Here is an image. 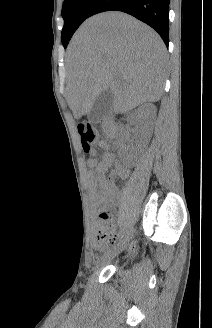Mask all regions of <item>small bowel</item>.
Here are the masks:
<instances>
[{
    "mask_svg": "<svg viewBox=\"0 0 212 328\" xmlns=\"http://www.w3.org/2000/svg\"><path fill=\"white\" fill-rule=\"evenodd\" d=\"M98 149L104 150V154L100 161L95 158H90L87 164L93 169V172L89 175V181L91 185V200L94 205L100 206L99 214L107 211V202L110 201L113 206H116L119 202V192L115 186L114 180L116 176L127 177L129 170L121 163L115 160L112 153L107 151L108 144L105 141H100ZM114 166L110 175L107 176V171ZM95 226L99 228L101 224L97 221ZM96 244V242H95Z\"/></svg>",
    "mask_w": 212,
    "mask_h": 328,
    "instance_id": "c3829d8e",
    "label": "small bowel"
}]
</instances>
